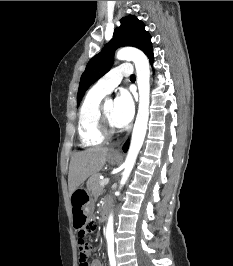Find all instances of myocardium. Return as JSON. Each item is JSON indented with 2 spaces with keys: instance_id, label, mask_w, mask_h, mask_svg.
I'll use <instances>...</instances> for the list:
<instances>
[{
  "instance_id": "obj_1",
  "label": "myocardium",
  "mask_w": 233,
  "mask_h": 266,
  "mask_svg": "<svg viewBox=\"0 0 233 266\" xmlns=\"http://www.w3.org/2000/svg\"><path fill=\"white\" fill-rule=\"evenodd\" d=\"M109 99H103L98 107L97 126L100 134L104 138L113 136L116 133V127L110 123L105 111V104Z\"/></svg>"
}]
</instances>
